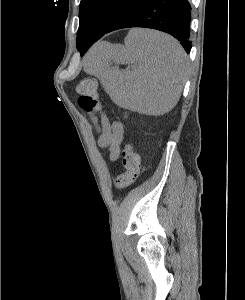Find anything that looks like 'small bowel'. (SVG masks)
<instances>
[{
  "mask_svg": "<svg viewBox=\"0 0 245 300\" xmlns=\"http://www.w3.org/2000/svg\"><path fill=\"white\" fill-rule=\"evenodd\" d=\"M90 118L98 133V145L108 149L110 161H116L121 152V143L125 133L124 125L120 121H110L105 114L99 118L91 115Z\"/></svg>",
  "mask_w": 245,
  "mask_h": 300,
  "instance_id": "1",
  "label": "small bowel"
}]
</instances>
